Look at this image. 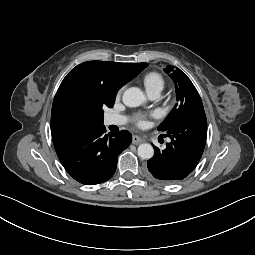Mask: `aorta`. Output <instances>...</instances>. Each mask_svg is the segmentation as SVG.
Returning a JSON list of instances; mask_svg holds the SVG:
<instances>
[{"label":"aorta","mask_w":255,"mask_h":255,"mask_svg":"<svg viewBox=\"0 0 255 255\" xmlns=\"http://www.w3.org/2000/svg\"><path fill=\"white\" fill-rule=\"evenodd\" d=\"M123 103L128 107H138L146 102L144 93L137 87L128 88L122 96ZM138 155L145 160L151 159L154 149L151 144L143 143L138 146Z\"/></svg>","instance_id":"aorta-1"}]
</instances>
